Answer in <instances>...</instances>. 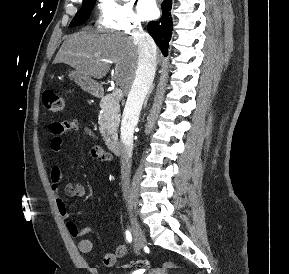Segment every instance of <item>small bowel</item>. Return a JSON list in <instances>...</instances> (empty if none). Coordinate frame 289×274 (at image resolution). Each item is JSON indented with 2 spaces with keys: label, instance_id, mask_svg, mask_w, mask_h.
I'll use <instances>...</instances> for the list:
<instances>
[{
  "label": "small bowel",
  "instance_id": "small-bowel-1",
  "mask_svg": "<svg viewBox=\"0 0 289 274\" xmlns=\"http://www.w3.org/2000/svg\"><path fill=\"white\" fill-rule=\"evenodd\" d=\"M68 131H81L83 134L89 136L91 139L96 140L97 137L94 132L83 126L79 121L70 119L65 121L53 122L50 126V149L54 154L59 153L63 147V136ZM89 155L101 162H111L112 156L110 153L104 151L99 144H94L90 150ZM50 181H51V191L55 196V204L59 214L63 218L69 217V212L66 206V202L60 197V186L62 182V170L61 167L55 163L50 169ZM64 193L67 197H85L86 189L85 187L77 182L70 181L66 184L64 188ZM69 234L73 237H81L89 234L92 229L85 227L79 229L77 225L69 221L66 224ZM78 249L83 254H89L93 251V243L89 239H81L78 243ZM128 252V247L126 244H121L115 247L112 252H106L102 257V264L105 267H112L119 258L125 256Z\"/></svg>",
  "mask_w": 289,
  "mask_h": 274
}]
</instances>
